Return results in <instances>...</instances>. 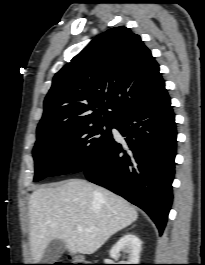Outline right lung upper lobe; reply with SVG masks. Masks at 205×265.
Masks as SVG:
<instances>
[{
    "instance_id": "1",
    "label": "right lung upper lobe",
    "mask_w": 205,
    "mask_h": 265,
    "mask_svg": "<svg viewBox=\"0 0 205 265\" xmlns=\"http://www.w3.org/2000/svg\"><path fill=\"white\" fill-rule=\"evenodd\" d=\"M164 90L159 65L140 36L123 26L111 28L56 73L37 131L115 122Z\"/></svg>"
}]
</instances>
